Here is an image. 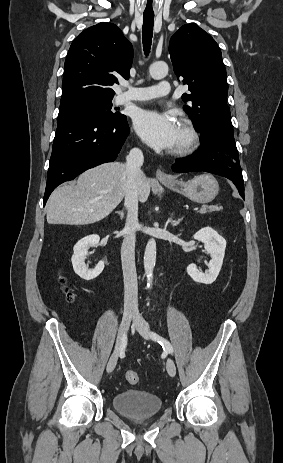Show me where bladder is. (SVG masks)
<instances>
[{
	"label": "bladder",
	"mask_w": 283,
	"mask_h": 463,
	"mask_svg": "<svg viewBox=\"0 0 283 463\" xmlns=\"http://www.w3.org/2000/svg\"><path fill=\"white\" fill-rule=\"evenodd\" d=\"M114 409L121 415L131 419H144L157 415L163 403L152 393L138 389H130L115 394L112 398Z\"/></svg>",
	"instance_id": "obj_1"
}]
</instances>
